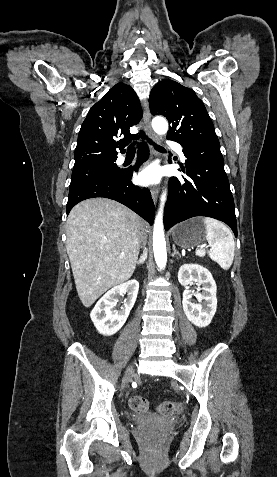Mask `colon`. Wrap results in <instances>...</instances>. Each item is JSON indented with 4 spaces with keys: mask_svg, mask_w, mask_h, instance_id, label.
Listing matches in <instances>:
<instances>
[{
    "mask_svg": "<svg viewBox=\"0 0 277 477\" xmlns=\"http://www.w3.org/2000/svg\"><path fill=\"white\" fill-rule=\"evenodd\" d=\"M129 405L132 410L139 413H144L149 408L148 401L144 397L139 395L132 396L129 400ZM181 409H182L181 405L173 401H164L160 403L157 407L158 412L166 416L173 415L177 412H180Z\"/></svg>",
    "mask_w": 277,
    "mask_h": 477,
    "instance_id": "obj_1",
    "label": "colon"
}]
</instances>
